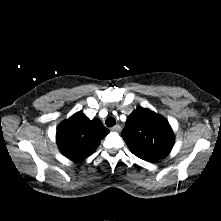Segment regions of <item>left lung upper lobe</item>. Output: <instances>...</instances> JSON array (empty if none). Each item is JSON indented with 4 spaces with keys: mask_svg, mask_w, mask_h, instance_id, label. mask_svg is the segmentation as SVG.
Segmentation results:
<instances>
[{
    "mask_svg": "<svg viewBox=\"0 0 221 221\" xmlns=\"http://www.w3.org/2000/svg\"><path fill=\"white\" fill-rule=\"evenodd\" d=\"M122 137L134 155L148 162L164 158L174 145L168 121L145 108H138L128 116Z\"/></svg>",
    "mask_w": 221,
    "mask_h": 221,
    "instance_id": "5c2ea615",
    "label": "left lung upper lobe"
}]
</instances>
